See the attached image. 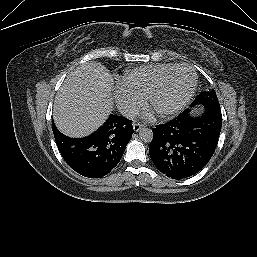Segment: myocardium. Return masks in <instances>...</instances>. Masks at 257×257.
Returning <instances> with one entry per match:
<instances>
[{"label": "myocardium", "instance_id": "myocardium-1", "mask_svg": "<svg viewBox=\"0 0 257 257\" xmlns=\"http://www.w3.org/2000/svg\"><path fill=\"white\" fill-rule=\"evenodd\" d=\"M178 69H186L188 71L191 72L192 74V83L191 86L188 90V92L186 93V95L177 103L175 104L173 107L167 109V110H163V111H156L153 109V101L154 98L156 97V95L160 92L165 80L168 78V76L173 73L174 71L178 70ZM197 83H198V78H197V73L196 71L189 65L187 64H178V65H174L171 68H169L168 70H166L155 82V84L153 85V87L151 88L150 92L148 93V96L146 98L147 100V105L149 108H151L159 117L162 118H166V117H170L173 116L177 113H179L181 110H183L188 103L191 101L192 97L194 96V93L196 91L197 88Z\"/></svg>", "mask_w": 257, "mask_h": 257}]
</instances>
